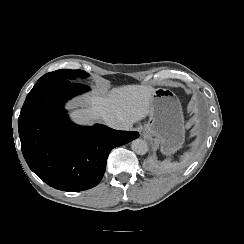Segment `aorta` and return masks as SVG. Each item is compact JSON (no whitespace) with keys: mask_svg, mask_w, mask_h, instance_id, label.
<instances>
[{"mask_svg":"<svg viewBox=\"0 0 244 244\" xmlns=\"http://www.w3.org/2000/svg\"><path fill=\"white\" fill-rule=\"evenodd\" d=\"M131 149L138 155H144L148 151V144L145 140L138 138L132 141Z\"/></svg>","mask_w":244,"mask_h":244,"instance_id":"aorta-1","label":"aorta"}]
</instances>
